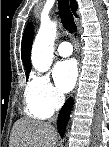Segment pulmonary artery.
Wrapping results in <instances>:
<instances>
[{
  "mask_svg": "<svg viewBox=\"0 0 109 147\" xmlns=\"http://www.w3.org/2000/svg\"><path fill=\"white\" fill-rule=\"evenodd\" d=\"M73 47L71 43L65 41L58 45L57 47V54L61 57H68L72 54Z\"/></svg>",
  "mask_w": 109,
  "mask_h": 147,
  "instance_id": "e3ab8cb5",
  "label": "pulmonary artery"
}]
</instances>
